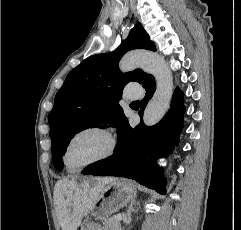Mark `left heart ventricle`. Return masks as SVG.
<instances>
[{"label": "left heart ventricle", "instance_id": "obj_1", "mask_svg": "<svg viewBox=\"0 0 241 230\" xmlns=\"http://www.w3.org/2000/svg\"><path fill=\"white\" fill-rule=\"evenodd\" d=\"M109 147L108 138L101 132H84L73 139L68 153L67 162L70 168H76L104 154Z\"/></svg>", "mask_w": 241, "mask_h": 230}]
</instances>
